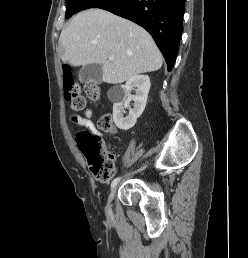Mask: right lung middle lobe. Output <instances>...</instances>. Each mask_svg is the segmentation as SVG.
I'll return each instance as SVG.
<instances>
[{"mask_svg": "<svg viewBox=\"0 0 248 258\" xmlns=\"http://www.w3.org/2000/svg\"><path fill=\"white\" fill-rule=\"evenodd\" d=\"M108 1L109 0H66V18L71 17L79 11L92 7L95 8Z\"/></svg>", "mask_w": 248, "mask_h": 258, "instance_id": "right-lung-middle-lobe-1", "label": "right lung middle lobe"}]
</instances>
